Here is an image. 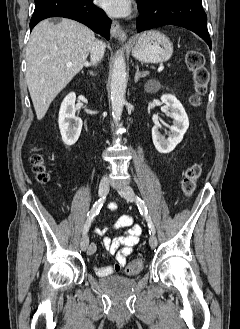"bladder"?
<instances>
[{
    "instance_id": "31cf9c89",
    "label": "bladder",
    "mask_w": 240,
    "mask_h": 329,
    "mask_svg": "<svg viewBox=\"0 0 240 329\" xmlns=\"http://www.w3.org/2000/svg\"><path fill=\"white\" fill-rule=\"evenodd\" d=\"M99 284L109 293L121 295L136 286V279L132 277L113 275L100 279Z\"/></svg>"
}]
</instances>
